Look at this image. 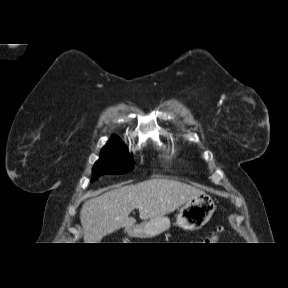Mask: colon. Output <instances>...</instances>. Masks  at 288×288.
Masks as SVG:
<instances>
[{
	"label": "colon",
	"instance_id": "obj_1",
	"mask_svg": "<svg viewBox=\"0 0 288 288\" xmlns=\"http://www.w3.org/2000/svg\"><path fill=\"white\" fill-rule=\"evenodd\" d=\"M223 231L222 227H218L216 230V233L213 237L210 238V242L216 243L219 239V235Z\"/></svg>",
	"mask_w": 288,
	"mask_h": 288
}]
</instances>
